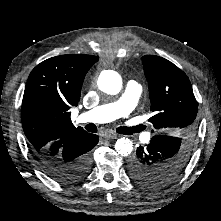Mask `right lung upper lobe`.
I'll list each match as a JSON object with an SVG mask.
<instances>
[{"label": "right lung upper lobe", "mask_w": 221, "mask_h": 221, "mask_svg": "<svg viewBox=\"0 0 221 221\" xmlns=\"http://www.w3.org/2000/svg\"><path fill=\"white\" fill-rule=\"evenodd\" d=\"M97 61L98 56L61 55L32 70L24 91L21 121L33 153L86 133L72 124L70 108L78 105L85 75Z\"/></svg>", "instance_id": "cb5924a9"}]
</instances>
